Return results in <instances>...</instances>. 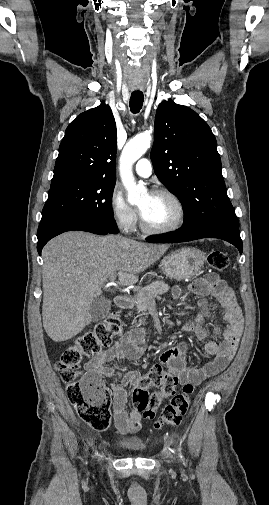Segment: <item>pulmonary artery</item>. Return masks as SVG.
I'll use <instances>...</instances> for the list:
<instances>
[{
    "instance_id": "1",
    "label": "pulmonary artery",
    "mask_w": 269,
    "mask_h": 505,
    "mask_svg": "<svg viewBox=\"0 0 269 505\" xmlns=\"http://www.w3.org/2000/svg\"><path fill=\"white\" fill-rule=\"evenodd\" d=\"M135 172L140 177L147 178L152 173V164L147 158L140 159L135 165Z\"/></svg>"
}]
</instances>
